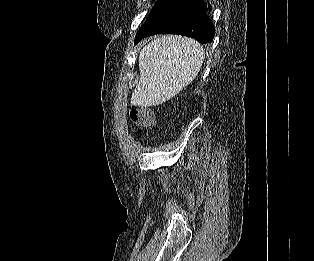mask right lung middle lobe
I'll return each instance as SVG.
<instances>
[{"mask_svg": "<svg viewBox=\"0 0 314 261\" xmlns=\"http://www.w3.org/2000/svg\"><path fill=\"white\" fill-rule=\"evenodd\" d=\"M175 0H157L154 7L152 8L147 20H151L155 16H157L159 13H161L164 9H166L169 5H171Z\"/></svg>", "mask_w": 314, "mask_h": 261, "instance_id": "right-lung-middle-lobe-1", "label": "right lung middle lobe"}]
</instances>
